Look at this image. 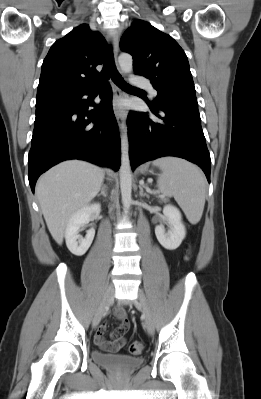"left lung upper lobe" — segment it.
<instances>
[{
  "mask_svg": "<svg viewBox=\"0 0 261 399\" xmlns=\"http://www.w3.org/2000/svg\"><path fill=\"white\" fill-rule=\"evenodd\" d=\"M120 46L133 56L135 74L148 78L158 91L156 105L172 101L197 103L187 56L171 36L137 20L122 36Z\"/></svg>",
  "mask_w": 261,
  "mask_h": 399,
  "instance_id": "obj_1",
  "label": "left lung upper lobe"
}]
</instances>
